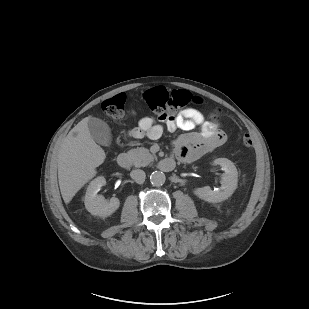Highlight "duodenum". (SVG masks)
<instances>
[{"label":"duodenum","mask_w":309,"mask_h":309,"mask_svg":"<svg viewBox=\"0 0 309 309\" xmlns=\"http://www.w3.org/2000/svg\"><path fill=\"white\" fill-rule=\"evenodd\" d=\"M117 164L124 169H127L131 166V159L128 154L120 153L117 156ZM159 168L162 171H171L175 167V161L171 158L163 159L158 164Z\"/></svg>","instance_id":"410a0bca"}]
</instances>
